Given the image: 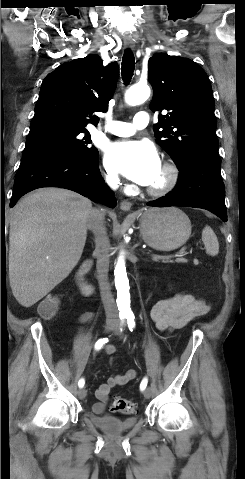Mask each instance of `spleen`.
Wrapping results in <instances>:
<instances>
[{
    "label": "spleen",
    "mask_w": 245,
    "mask_h": 479,
    "mask_svg": "<svg viewBox=\"0 0 245 479\" xmlns=\"http://www.w3.org/2000/svg\"><path fill=\"white\" fill-rule=\"evenodd\" d=\"M202 241L206 253L210 256H216L219 253V242L212 228L206 225L202 231Z\"/></svg>",
    "instance_id": "1"
}]
</instances>
